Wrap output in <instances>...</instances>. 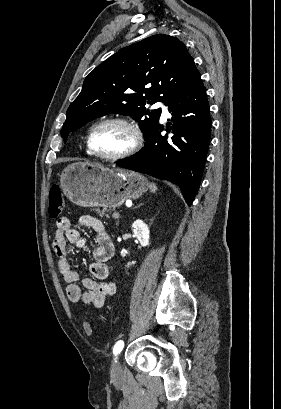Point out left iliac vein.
<instances>
[{"label":"left iliac vein","instance_id":"obj_1","mask_svg":"<svg viewBox=\"0 0 281 409\" xmlns=\"http://www.w3.org/2000/svg\"><path fill=\"white\" fill-rule=\"evenodd\" d=\"M120 374H121V365H120L119 357L115 356V358L113 359L112 365H111V376L113 378H116L120 376Z\"/></svg>","mask_w":281,"mask_h":409}]
</instances>
